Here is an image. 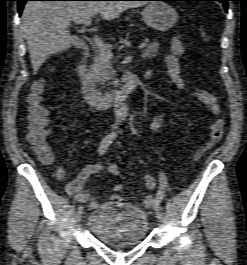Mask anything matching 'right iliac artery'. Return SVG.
Returning a JSON list of instances; mask_svg holds the SVG:
<instances>
[{
    "label": "right iliac artery",
    "instance_id": "right-iliac-artery-1",
    "mask_svg": "<svg viewBox=\"0 0 247 265\" xmlns=\"http://www.w3.org/2000/svg\"><path fill=\"white\" fill-rule=\"evenodd\" d=\"M115 137H116L115 133H110L103 138V140L100 143L99 149H98V152L100 155H103L106 152L108 146L113 142ZM97 205H98L97 202H91L90 203L91 208H95V207H97Z\"/></svg>",
    "mask_w": 247,
    "mask_h": 265
}]
</instances>
